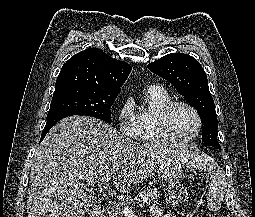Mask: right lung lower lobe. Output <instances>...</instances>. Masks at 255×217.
Wrapping results in <instances>:
<instances>
[{"label": "right lung lower lobe", "mask_w": 255, "mask_h": 217, "mask_svg": "<svg viewBox=\"0 0 255 217\" xmlns=\"http://www.w3.org/2000/svg\"><path fill=\"white\" fill-rule=\"evenodd\" d=\"M71 116L69 114H59V115H55L53 117H51L50 119H47L46 125L42 131V135H41V139L40 142L44 139V137L46 136L47 132L51 129V127L57 123L59 120Z\"/></svg>", "instance_id": "1"}]
</instances>
